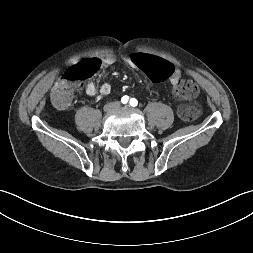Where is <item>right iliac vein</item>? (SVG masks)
I'll list each match as a JSON object with an SVG mask.
<instances>
[{
    "mask_svg": "<svg viewBox=\"0 0 253 253\" xmlns=\"http://www.w3.org/2000/svg\"><path fill=\"white\" fill-rule=\"evenodd\" d=\"M115 107H116V104H114V103H109V104L105 105L104 111L110 112V111L114 110Z\"/></svg>",
    "mask_w": 253,
    "mask_h": 253,
    "instance_id": "1",
    "label": "right iliac vein"
}]
</instances>
